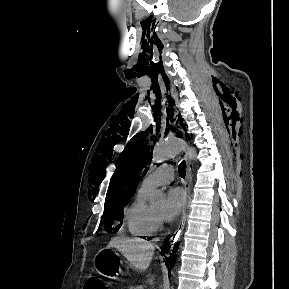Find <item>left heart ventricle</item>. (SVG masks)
I'll list each match as a JSON object with an SVG mask.
<instances>
[{"mask_svg":"<svg viewBox=\"0 0 289 289\" xmlns=\"http://www.w3.org/2000/svg\"><path fill=\"white\" fill-rule=\"evenodd\" d=\"M164 205H165L164 201H158V202L154 203L153 205H151L154 213L161 220H163L162 214H163V210H164Z\"/></svg>","mask_w":289,"mask_h":289,"instance_id":"1","label":"left heart ventricle"}]
</instances>
